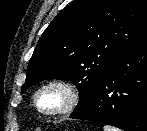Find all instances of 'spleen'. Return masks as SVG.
Here are the masks:
<instances>
[{
    "label": "spleen",
    "instance_id": "obj_1",
    "mask_svg": "<svg viewBox=\"0 0 147 131\" xmlns=\"http://www.w3.org/2000/svg\"><path fill=\"white\" fill-rule=\"evenodd\" d=\"M103 130L104 131H120L119 129H117V128L113 127V126H109V125H105L103 127Z\"/></svg>",
    "mask_w": 147,
    "mask_h": 131
}]
</instances>
